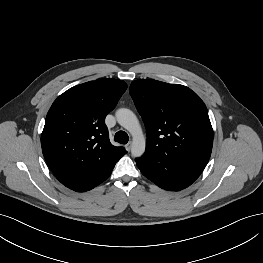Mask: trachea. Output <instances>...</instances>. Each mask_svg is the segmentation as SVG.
Listing matches in <instances>:
<instances>
[{
  "label": "trachea",
  "mask_w": 263,
  "mask_h": 263,
  "mask_svg": "<svg viewBox=\"0 0 263 263\" xmlns=\"http://www.w3.org/2000/svg\"><path fill=\"white\" fill-rule=\"evenodd\" d=\"M114 140L120 144H126L129 140V136L124 131H118L114 136Z\"/></svg>",
  "instance_id": "obj_1"
}]
</instances>
